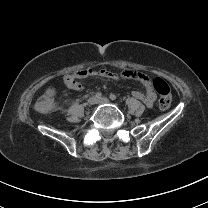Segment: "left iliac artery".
I'll return each instance as SVG.
<instances>
[{"mask_svg":"<svg viewBox=\"0 0 208 208\" xmlns=\"http://www.w3.org/2000/svg\"><path fill=\"white\" fill-rule=\"evenodd\" d=\"M109 97L111 100H116V98H117L116 95H114V94H110Z\"/></svg>","mask_w":208,"mask_h":208,"instance_id":"left-iliac-artery-1","label":"left iliac artery"}]
</instances>
